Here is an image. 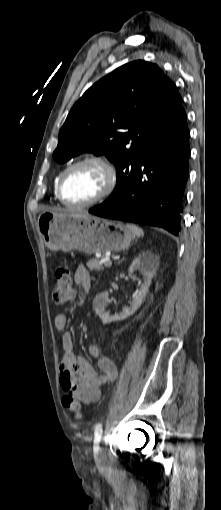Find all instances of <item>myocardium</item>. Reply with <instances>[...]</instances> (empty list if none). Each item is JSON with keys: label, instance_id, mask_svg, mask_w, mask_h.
Returning <instances> with one entry per match:
<instances>
[{"label": "myocardium", "instance_id": "1", "mask_svg": "<svg viewBox=\"0 0 221 510\" xmlns=\"http://www.w3.org/2000/svg\"><path fill=\"white\" fill-rule=\"evenodd\" d=\"M86 164H94L101 168L105 173V183L101 189V191L92 199L81 202V203H72L65 199L63 192V185L67 175L75 168L86 165ZM118 175L117 170L114 164L107 157L102 155H89L83 158H80L70 165H68L60 175L58 184H57V196L61 200V202L70 208H87L93 206L107 197H109L117 184Z\"/></svg>", "mask_w": 221, "mask_h": 510}]
</instances>
